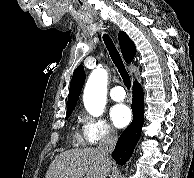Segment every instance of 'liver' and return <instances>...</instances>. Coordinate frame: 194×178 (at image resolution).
<instances>
[{"label": "liver", "mask_w": 194, "mask_h": 178, "mask_svg": "<svg viewBox=\"0 0 194 178\" xmlns=\"http://www.w3.org/2000/svg\"><path fill=\"white\" fill-rule=\"evenodd\" d=\"M111 165V161L101 158L97 149H71L55 157L45 178H106Z\"/></svg>", "instance_id": "6515ba94"}]
</instances>
